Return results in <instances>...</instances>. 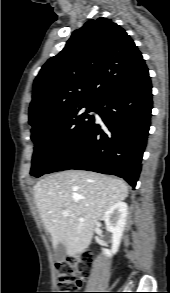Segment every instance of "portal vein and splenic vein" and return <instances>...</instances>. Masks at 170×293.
<instances>
[{
  "instance_id": "portal-vein-and-splenic-vein-1",
  "label": "portal vein and splenic vein",
  "mask_w": 170,
  "mask_h": 293,
  "mask_svg": "<svg viewBox=\"0 0 170 293\" xmlns=\"http://www.w3.org/2000/svg\"><path fill=\"white\" fill-rule=\"evenodd\" d=\"M62 214H63V216H68L69 215V213L67 211H63Z\"/></svg>"
}]
</instances>
